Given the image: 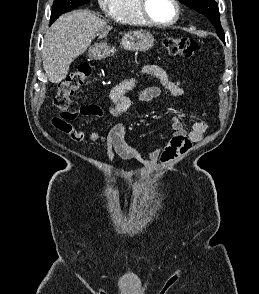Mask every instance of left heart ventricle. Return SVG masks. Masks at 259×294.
<instances>
[{
  "instance_id": "b2bd125f",
  "label": "left heart ventricle",
  "mask_w": 259,
  "mask_h": 294,
  "mask_svg": "<svg viewBox=\"0 0 259 294\" xmlns=\"http://www.w3.org/2000/svg\"><path fill=\"white\" fill-rule=\"evenodd\" d=\"M148 12L158 22H169L174 18L172 0H148Z\"/></svg>"
}]
</instances>
